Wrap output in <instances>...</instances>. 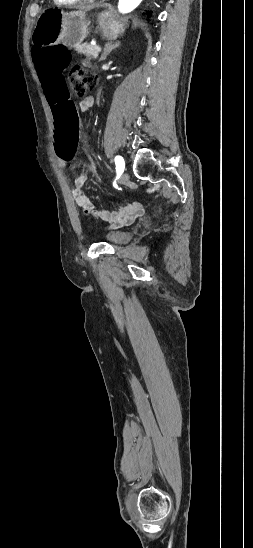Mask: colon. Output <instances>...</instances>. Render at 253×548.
Instances as JSON below:
<instances>
[{
    "label": "colon",
    "instance_id": "colon-1",
    "mask_svg": "<svg viewBox=\"0 0 253 548\" xmlns=\"http://www.w3.org/2000/svg\"><path fill=\"white\" fill-rule=\"evenodd\" d=\"M35 71L40 79V94L47 96L46 102L51 105L52 120L57 128L52 147L59 159H71L78 136L76 99L71 98L66 78L69 54L60 45L34 52ZM69 82L75 96H83L94 84V77L79 67L69 73ZM98 164L87 161L85 166L95 180L103 182Z\"/></svg>",
    "mask_w": 253,
    "mask_h": 548
}]
</instances>
